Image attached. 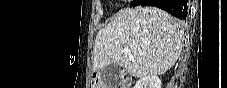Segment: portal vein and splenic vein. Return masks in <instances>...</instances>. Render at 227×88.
Listing matches in <instances>:
<instances>
[{
  "label": "portal vein and splenic vein",
  "mask_w": 227,
  "mask_h": 88,
  "mask_svg": "<svg viewBox=\"0 0 227 88\" xmlns=\"http://www.w3.org/2000/svg\"><path fill=\"white\" fill-rule=\"evenodd\" d=\"M125 55H127L131 60H134V56L131 54L129 49H123L122 51Z\"/></svg>",
  "instance_id": "obj_1"
}]
</instances>
